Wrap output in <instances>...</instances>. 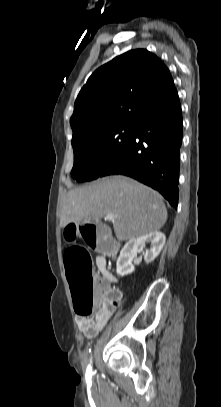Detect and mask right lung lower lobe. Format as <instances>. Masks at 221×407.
Returning a JSON list of instances; mask_svg holds the SVG:
<instances>
[{
    "label": "right lung lower lobe",
    "mask_w": 221,
    "mask_h": 407,
    "mask_svg": "<svg viewBox=\"0 0 221 407\" xmlns=\"http://www.w3.org/2000/svg\"><path fill=\"white\" fill-rule=\"evenodd\" d=\"M182 112L177 91L135 123L131 141L102 173L130 176L178 205Z\"/></svg>",
    "instance_id": "1"
}]
</instances>
